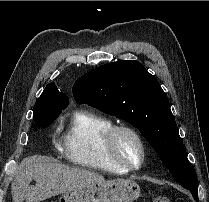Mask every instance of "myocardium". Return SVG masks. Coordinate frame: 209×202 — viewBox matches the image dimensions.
<instances>
[{
  "instance_id": "1",
  "label": "myocardium",
  "mask_w": 209,
  "mask_h": 202,
  "mask_svg": "<svg viewBox=\"0 0 209 202\" xmlns=\"http://www.w3.org/2000/svg\"><path fill=\"white\" fill-rule=\"evenodd\" d=\"M121 133H127L130 134L135 138V140L138 142L140 151H141V157L138 163H132L130 161H127L123 159L116 150V139L119 134ZM104 150L108 158L116 165L129 170V171H135L142 167L144 164V161L147 156V147L146 143L140 134V132L128 125V124H114L109 131L107 132L104 140Z\"/></svg>"
}]
</instances>
